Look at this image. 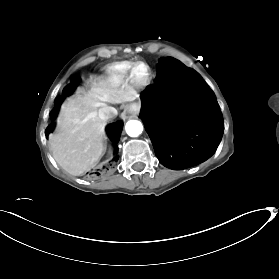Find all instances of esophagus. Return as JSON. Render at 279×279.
I'll use <instances>...</instances> for the list:
<instances>
[{
	"label": "esophagus",
	"instance_id": "obj_1",
	"mask_svg": "<svg viewBox=\"0 0 279 279\" xmlns=\"http://www.w3.org/2000/svg\"><path fill=\"white\" fill-rule=\"evenodd\" d=\"M125 110L130 114L136 113L139 110V106L138 105L134 106V104H129L126 106Z\"/></svg>",
	"mask_w": 279,
	"mask_h": 279
}]
</instances>
